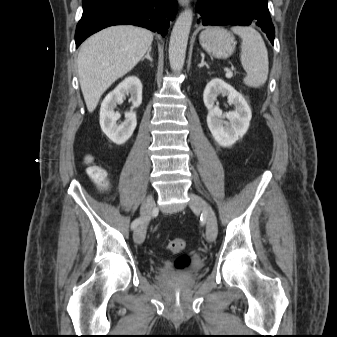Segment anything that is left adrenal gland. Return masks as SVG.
Here are the masks:
<instances>
[{"label":"left adrenal gland","instance_id":"a2214340","mask_svg":"<svg viewBox=\"0 0 337 337\" xmlns=\"http://www.w3.org/2000/svg\"><path fill=\"white\" fill-rule=\"evenodd\" d=\"M201 63L198 65L199 68L203 67V66H206L207 68H209L208 64L204 61V54L201 53Z\"/></svg>","mask_w":337,"mask_h":337}]
</instances>
